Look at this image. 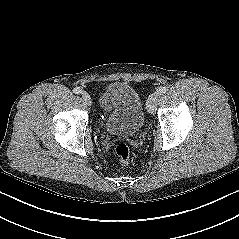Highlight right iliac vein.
Segmentation results:
<instances>
[{
    "label": "right iliac vein",
    "mask_w": 239,
    "mask_h": 239,
    "mask_svg": "<svg viewBox=\"0 0 239 239\" xmlns=\"http://www.w3.org/2000/svg\"><path fill=\"white\" fill-rule=\"evenodd\" d=\"M81 97L85 104L91 105V97L87 92H81Z\"/></svg>",
    "instance_id": "obj_1"
}]
</instances>
